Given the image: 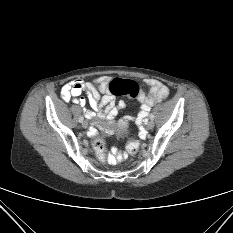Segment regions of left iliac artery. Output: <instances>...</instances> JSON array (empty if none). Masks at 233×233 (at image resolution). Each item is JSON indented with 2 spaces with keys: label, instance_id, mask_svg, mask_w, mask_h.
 <instances>
[{
  "label": "left iliac artery",
  "instance_id": "1",
  "mask_svg": "<svg viewBox=\"0 0 233 233\" xmlns=\"http://www.w3.org/2000/svg\"><path fill=\"white\" fill-rule=\"evenodd\" d=\"M149 118H150L151 120H153V119H154V115H153V114H149Z\"/></svg>",
  "mask_w": 233,
  "mask_h": 233
}]
</instances>
